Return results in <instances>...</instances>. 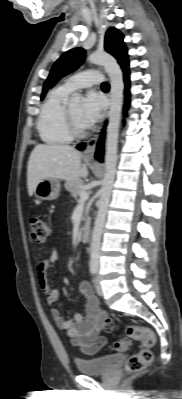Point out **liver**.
Here are the masks:
<instances>
[{"instance_id": "obj_1", "label": "liver", "mask_w": 182, "mask_h": 399, "mask_svg": "<svg viewBox=\"0 0 182 399\" xmlns=\"http://www.w3.org/2000/svg\"><path fill=\"white\" fill-rule=\"evenodd\" d=\"M88 176L81 153L68 145L38 144L30 154L27 166V187L33 195L37 184L47 178L73 181Z\"/></svg>"}]
</instances>
